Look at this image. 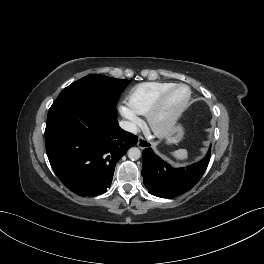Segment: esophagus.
Wrapping results in <instances>:
<instances>
[{
  "label": "esophagus",
  "instance_id": "1",
  "mask_svg": "<svg viewBox=\"0 0 264 264\" xmlns=\"http://www.w3.org/2000/svg\"><path fill=\"white\" fill-rule=\"evenodd\" d=\"M137 146L140 148V149H144V148H147L150 146V143L144 139L143 137H138V141H137Z\"/></svg>",
  "mask_w": 264,
  "mask_h": 264
}]
</instances>
